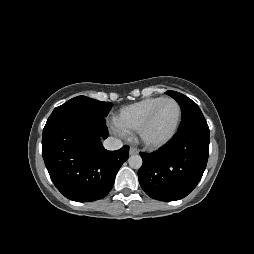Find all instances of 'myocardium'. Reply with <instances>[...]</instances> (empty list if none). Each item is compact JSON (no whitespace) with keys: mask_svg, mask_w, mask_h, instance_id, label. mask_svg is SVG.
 Listing matches in <instances>:
<instances>
[{"mask_svg":"<svg viewBox=\"0 0 254 254\" xmlns=\"http://www.w3.org/2000/svg\"><path fill=\"white\" fill-rule=\"evenodd\" d=\"M166 102H173L176 104V106L178 108L177 121H176L172 131L166 137H164L163 139L158 140V141H151L146 138V131H147L148 127L150 126V124L152 123V121H153L155 115L157 114L158 110L160 109V107ZM181 119H182V107H181L180 103L173 98H164L150 111V113L147 115V117L140 124V126L137 130L138 137H139L140 141L143 143V145H145L146 147L152 148V149L160 148V147L166 145L168 142H170L174 138V136L176 135V133L179 129Z\"/></svg>","mask_w":254,"mask_h":254,"instance_id":"obj_1","label":"myocardium"}]
</instances>
